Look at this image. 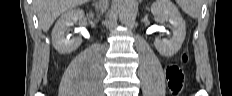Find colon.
Returning a JSON list of instances; mask_svg holds the SVG:
<instances>
[{
    "instance_id": "colon-1",
    "label": "colon",
    "mask_w": 232,
    "mask_h": 96,
    "mask_svg": "<svg viewBox=\"0 0 232 96\" xmlns=\"http://www.w3.org/2000/svg\"><path fill=\"white\" fill-rule=\"evenodd\" d=\"M189 61L187 51H184L181 55L182 64L186 65ZM166 77L169 82V88L172 94L177 95L183 88V73L178 65H170L166 68Z\"/></svg>"
}]
</instances>
